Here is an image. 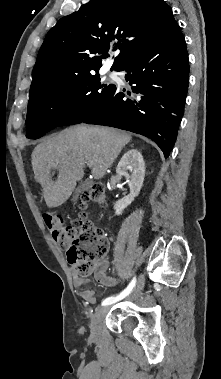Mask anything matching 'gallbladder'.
Here are the masks:
<instances>
[{
    "label": "gallbladder",
    "instance_id": "1",
    "mask_svg": "<svg viewBox=\"0 0 221 379\" xmlns=\"http://www.w3.org/2000/svg\"><path fill=\"white\" fill-rule=\"evenodd\" d=\"M87 188H88V184L86 182L81 183L79 185V187L77 188V190H76V192H75V194L73 196L72 201L75 203L78 200V197H79L80 193L82 191H84L85 189H87Z\"/></svg>",
    "mask_w": 221,
    "mask_h": 379
}]
</instances>
